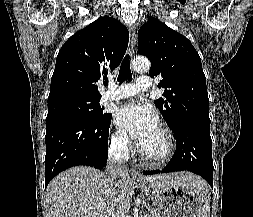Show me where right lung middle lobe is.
<instances>
[{
    "label": "right lung middle lobe",
    "instance_id": "1",
    "mask_svg": "<svg viewBox=\"0 0 253 217\" xmlns=\"http://www.w3.org/2000/svg\"><path fill=\"white\" fill-rule=\"evenodd\" d=\"M100 98L67 97L48 102L46 123L69 117L85 118L94 122L106 120L111 116L103 112L99 105Z\"/></svg>",
    "mask_w": 253,
    "mask_h": 217
}]
</instances>
